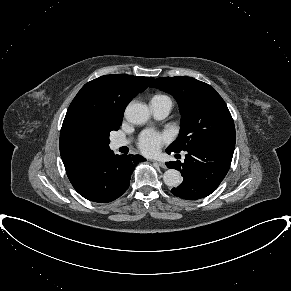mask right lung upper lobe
I'll use <instances>...</instances> for the list:
<instances>
[{
	"label": "right lung upper lobe",
	"instance_id": "obj_1",
	"mask_svg": "<svg viewBox=\"0 0 291 291\" xmlns=\"http://www.w3.org/2000/svg\"><path fill=\"white\" fill-rule=\"evenodd\" d=\"M153 77L105 75L86 83L71 102L60 133V154L73 181L109 147L89 135L105 121L123 118L127 104L144 91Z\"/></svg>",
	"mask_w": 291,
	"mask_h": 291
}]
</instances>
